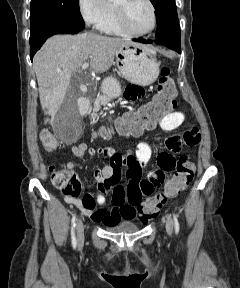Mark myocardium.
<instances>
[{
	"mask_svg": "<svg viewBox=\"0 0 240 288\" xmlns=\"http://www.w3.org/2000/svg\"><path fill=\"white\" fill-rule=\"evenodd\" d=\"M131 1L132 0H127V2H131ZM145 1L149 4V6L152 10V17H153L152 27L146 32L134 31L129 25L126 7L119 6V5L114 3L118 24L125 33L132 35V36L141 37V36L150 35L151 33H153L155 31V29L157 27V10H156V7H155L152 0H145Z\"/></svg>",
	"mask_w": 240,
	"mask_h": 288,
	"instance_id": "f54148a6",
	"label": "myocardium"
}]
</instances>
